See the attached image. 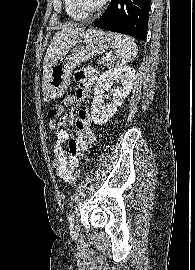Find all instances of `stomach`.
I'll return each mask as SVG.
<instances>
[{
    "instance_id": "obj_1",
    "label": "stomach",
    "mask_w": 195,
    "mask_h": 270,
    "mask_svg": "<svg viewBox=\"0 0 195 270\" xmlns=\"http://www.w3.org/2000/svg\"><path fill=\"white\" fill-rule=\"evenodd\" d=\"M110 39L101 29L89 28L66 35L43 71L42 89L47 98H59L67 90L73 69L97 53L104 52Z\"/></svg>"
}]
</instances>
